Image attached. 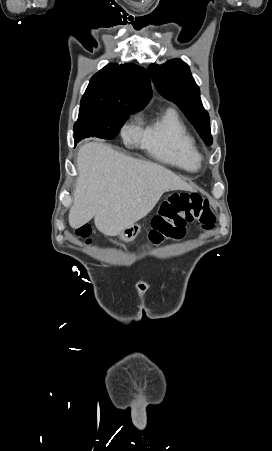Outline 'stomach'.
Returning a JSON list of instances; mask_svg holds the SVG:
<instances>
[{
  "instance_id": "1",
  "label": "stomach",
  "mask_w": 272,
  "mask_h": 451,
  "mask_svg": "<svg viewBox=\"0 0 272 451\" xmlns=\"http://www.w3.org/2000/svg\"><path fill=\"white\" fill-rule=\"evenodd\" d=\"M141 231L140 224H132V226L125 227L123 229L122 233H118L120 239H123V241H133L135 237H137L138 233Z\"/></svg>"
}]
</instances>
